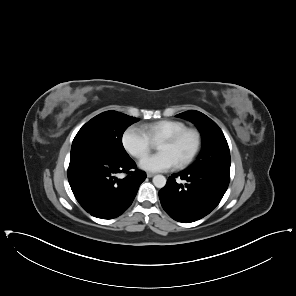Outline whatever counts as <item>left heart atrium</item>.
Returning a JSON list of instances; mask_svg holds the SVG:
<instances>
[{
  "label": "left heart atrium",
  "instance_id": "1",
  "mask_svg": "<svg viewBox=\"0 0 296 296\" xmlns=\"http://www.w3.org/2000/svg\"><path fill=\"white\" fill-rule=\"evenodd\" d=\"M155 162H158V165L154 164ZM145 164L154 170H163L166 167L167 162L164 157L156 156L153 158L146 159Z\"/></svg>",
  "mask_w": 296,
  "mask_h": 296
}]
</instances>
